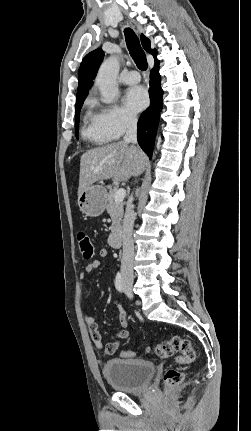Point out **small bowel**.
Masks as SVG:
<instances>
[{"instance_id": "obj_1", "label": "small bowel", "mask_w": 251, "mask_h": 431, "mask_svg": "<svg viewBox=\"0 0 251 431\" xmlns=\"http://www.w3.org/2000/svg\"><path fill=\"white\" fill-rule=\"evenodd\" d=\"M101 257L108 256V251L106 249H101L99 252ZM102 265L100 260H93L87 265H85L79 274V289L80 292L83 293L84 291V283L83 280L86 277V275L93 272L95 269L100 268ZM114 308H116L119 311L118 319L122 326V329L118 331L115 335V340L106 344H103L102 337L99 332L98 323L96 322L95 318L91 315H85L84 321L87 326L88 333L94 342L95 346L106 355H112L114 354L120 347V341L127 339L130 335L128 327V320L126 313L122 310L121 304L115 300L114 301Z\"/></svg>"}]
</instances>
